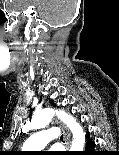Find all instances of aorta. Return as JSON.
I'll list each match as a JSON object with an SVG mask.
<instances>
[{
  "mask_svg": "<svg viewBox=\"0 0 119 155\" xmlns=\"http://www.w3.org/2000/svg\"><path fill=\"white\" fill-rule=\"evenodd\" d=\"M56 115L62 122H64L73 133V140L71 144V151H83L85 144V133L83 128L76 119L61 110L43 109L34 114L31 120L32 129H41L47 126Z\"/></svg>",
  "mask_w": 119,
  "mask_h": 155,
  "instance_id": "obj_1",
  "label": "aorta"
}]
</instances>
